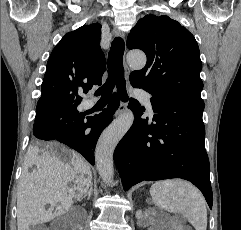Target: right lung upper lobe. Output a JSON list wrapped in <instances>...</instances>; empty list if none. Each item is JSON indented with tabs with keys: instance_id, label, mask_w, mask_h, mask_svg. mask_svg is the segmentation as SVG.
<instances>
[{
	"instance_id": "cb5924a9",
	"label": "right lung upper lobe",
	"mask_w": 241,
	"mask_h": 230,
	"mask_svg": "<svg viewBox=\"0 0 241 230\" xmlns=\"http://www.w3.org/2000/svg\"><path fill=\"white\" fill-rule=\"evenodd\" d=\"M100 36L101 25L91 24L61 39L47 62L38 106L80 103L82 93L101 85L106 61Z\"/></svg>"
}]
</instances>
